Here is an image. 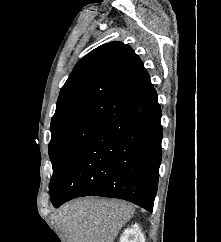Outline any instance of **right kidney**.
<instances>
[{
  "mask_svg": "<svg viewBox=\"0 0 221 242\" xmlns=\"http://www.w3.org/2000/svg\"><path fill=\"white\" fill-rule=\"evenodd\" d=\"M140 235L139 226L135 224L131 228L124 230L120 237V242H138Z\"/></svg>",
  "mask_w": 221,
  "mask_h": 242,
  "instance_id": "obj_1",
  "label": "right kidney"
}]
</instances>
